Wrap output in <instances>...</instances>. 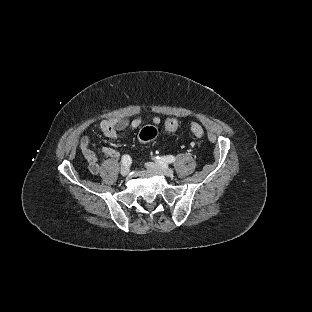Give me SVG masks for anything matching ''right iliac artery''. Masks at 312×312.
<instances>
[{
  "mask_svg": "<svg viewBox=\"0 0 312 312\" xmlns=\"http://www.w3.org/2000/svg\"><path fill=\"white\" fill-rule=\"evenodd\" d=\"M121 161L124 166H130L132 163V159L129 155H123Z\"/></svg>",
  "mask_w": 312,
  "mask_h": 312,
  "instance_id": "obj_1",
  "label": "right iliac artery"
}]
</instances>
